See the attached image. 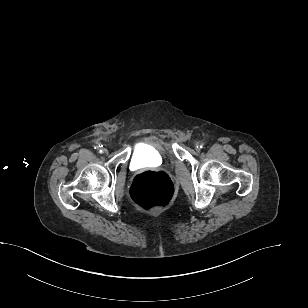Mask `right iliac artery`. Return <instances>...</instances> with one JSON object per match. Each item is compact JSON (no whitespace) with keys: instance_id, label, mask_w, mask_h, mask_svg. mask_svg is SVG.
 I'll list each match as a JSON object with an SVG mask.
<instances>
[{"instance_id":"1","label":"right iliac artery","mask_w":308,"mask_h":308,"mask_svg":"<svg viewBox=\"0 0 308 308\" xmlns=\"http://www.w3.org/2000/svg\"><path fill=\"white\" fill-rule=\"evenodd\" d=\"M95 149H97L101 153L103 151V145L96 146Z\"/></svg>"}]
</instances>
